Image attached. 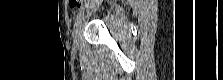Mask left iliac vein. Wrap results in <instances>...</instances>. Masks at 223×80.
<instances>
[{"label":"left iliac vein","mask_w":223,"mask_h":80,"mask_svg":"<svg viewBox=\"0 0 223 80\" xmlns=\"http://www.w3.org/2000/svg\"><path fill=\"white\" fill-rule=\"evenodd\" d=\"M85 21H86V17L81 18V20L79 22H77L74 27V30L72 33L74 47L79 46Z\"/></svg>","instance_id":"left-iliac-vein-1"}]
</instances>
